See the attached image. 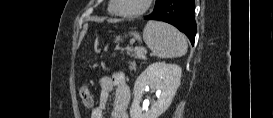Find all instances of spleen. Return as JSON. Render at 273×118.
<instances>
[{
  "label": "spleen",
  "instance_id": "spleen-1",
  "mask_svg": "<svg viewBox=\"0 0 273 118\" xmlns=\"http://www.w3.org/2000/svg\"><path fill=\"white\" fill-rule=\"evenodd\" d=\"M141 41L137 32L131 33ZM143 40L153 55L159 58H173L186 54V38L174 27L157 21H149L143 31Z\"/></svg>",
  "mask_w": 273,
  "mask_h": 118
}]
</instances>
